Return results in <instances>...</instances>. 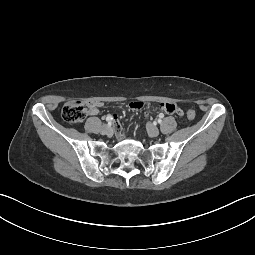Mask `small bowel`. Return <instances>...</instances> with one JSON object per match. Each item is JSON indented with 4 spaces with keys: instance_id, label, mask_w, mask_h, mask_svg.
Returning <instances> with one entry per match:
<instances>
[{
    "instance_id": "1",
    "label": "small bowel",
    "mask_w": 255,
    "mask_h": 255,
    "mask_svg": "<svg viewBox=\"0 0 255 255\" xmlns=\"http://www.w3.org/2000/svg\"><path fill=\"white\" fill-rule=\"evenodd\" d=\"M143 106V102L135 101L131 103L132 108H141ZM149 107H152L154 109L162 110L169 114H174L175 118L178 120H183L187 116V111L184 108V105L181 102H163V103H156L153 105H149ZM99 112L98 110V104H92L90 106V114L91 115H97Z\"/></svg>"
}]
</instances>
